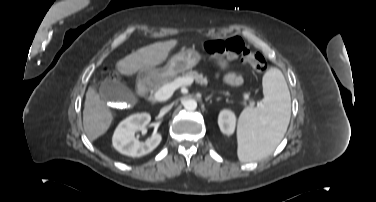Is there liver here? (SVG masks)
I'll return each instance as SVG.
<instances>
[{
	"label": "liver",
	"instance_id": "6515ba94",
	"mask_svg": "<svg viewBox=\"0 0 376 202\" xmlns=\"http://www.w3.org/2000/svg\"><path fill=\"white\" fill-rule=\"evenodd\" d=\"M177 40L156 42L132 52L119 60L117 70L124 75H132L144 69L161 64L168 57L169 52L176 46ZM113 115L95 86L88 88L83 110V126L90 141L103 135L110 127Z\"/></svg>",
	"mask_w": 376,
	"mask_h": 202
}]
</instances>
